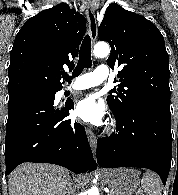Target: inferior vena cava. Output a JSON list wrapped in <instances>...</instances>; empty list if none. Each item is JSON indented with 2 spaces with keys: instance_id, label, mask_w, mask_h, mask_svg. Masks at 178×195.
Segmentation results:
<instances>
[{
  "instance_id": "inferior-vena-cava-1",
  "label": "inferior vena cava",
  "mask_w": 178,
  "mask_h": 195,
  "mask_svg": "<svg viewBox=\"0 0 178 195\" xmlns=\"http://www.w3.org/2000/svg\"><path fill=\"white\" fill-rule=\"evenodd\" d=\"M67 195H74V188L70 185L69 188H67Z\"/></svg>"
}]
</instances>
